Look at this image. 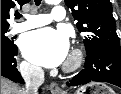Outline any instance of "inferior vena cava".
Returning <instances> with one entry per match:
<instances>
[{"instance_id":"inferior-vena-cava-1","label":"inferior vena cava","mask_w":121,"mask_h":94,"mask_svg":"<svg viewBox=\"0 0 121 94\" xmlns=\"http://www.w3.org/2000/svg\"><path fill=\"white\" fill-rule=\"evenodd\" d=\"M26 83L22 89V94H38V89L44 82V71L41 67L22 63L19 68Z\"/></svg>"}]
</instances>
